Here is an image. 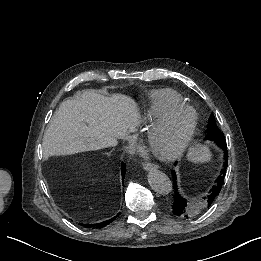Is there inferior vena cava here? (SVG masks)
<instances>
[{
    "label": "inferior vena cava",
    "instance_id": "inferior-vena-cava-1",
    "mask_svg": "<svg viewBox=\"0 0 261 261\" xmlns=\"http://www.w3.org/2000/svg\"><path fill=\"white\" fill-rule=\"evenodd\" d=\"M126 138H127V136H126ZM127 141H131V142H133L134 139H133V137H128V138H127Z\"/></svg>",
    "mask_w": 261,
    "mask_h": 261
}]
</instances>
